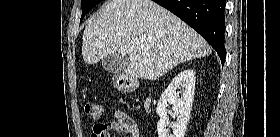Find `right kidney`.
<instances>
[{"label": "right kidney", "mask_w": 280, "mask_h": 137, "mask_svg": "<svg viewBox=\"0 0 280 137\" xmlns=\"http://www.w3.org/2000/svg\"><path fill=\"white\" fill-rule=\"evenodd\" d=\"M195 72L193 69L181 71L169 84L167 89L162 93L158 102L156 113L160 117L157 123L159 137H184L187 123L189 121L194 99L195 90ZM181 88L183 94L179 98L177 89ZM173 105V111L176 114V122L172 126L173 135H167V104Z\"/></svg>", "instance_id": "1"}]
</instances>
